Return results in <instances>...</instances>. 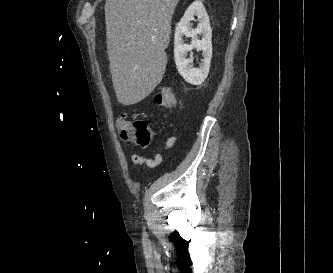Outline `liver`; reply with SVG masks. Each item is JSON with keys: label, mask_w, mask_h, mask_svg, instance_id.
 I'll list each match as a JSON object with an SVG mask.
<instances>
[{"label": "liver", "mask_w": 333, "mask_h": 273, "mask_svg": "<svg viewBox=\"0 0 333 273\" xmlns=\"http://www.w3.org/2000/svg\"><path fill=\"white\" fill-rule=\"evenodd\" d=\"M179 0H106L107 52L119 103L133 105L161 82Z\"/></svg>", "instance_id": "1"}]
</instances>
